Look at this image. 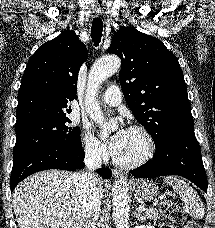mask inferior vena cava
I'll use <instances>...</instances> for the list:
<instances>
[{
  "label": "inferior vena cava",
  "mask_w": 215,
  "mask_h": 228,
  "mask_svg": "<svg viewBox=\"0 0 215 228\" xmlns=\"http://www.w3.org/2000/svg\"><path fill=\"white\" fill-rule=\"evenodd\" d=\"M84 164V172L74 176L75 190L82 210L83 226L84 228H101L97 220L102 206V184L98 182L95 174V170L102 166L101 150L95 146H86Z\"/></svg>",
  "instance_id": "inferior-vena-cava-1"
}]
</instances>
